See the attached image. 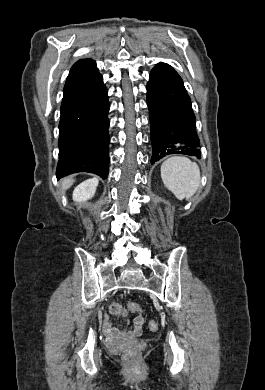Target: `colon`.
Returning <instances> with one entry per match:
<instances>
[{
    "instance_id": "obj_1",
    "label": "colon",
    "mask_w": 265,
    "mask_h": 390,
    "mask_svg": "<svg viewBox=\"0 0 265 390\" xmlns=\"http://www.w3.org/2000/svg\"><path fill=\"white\" fill-rule=\"evenodd\" d=\"M110 308V312L114 315H117V316H124L126 314V309L116 303V302H112L109 306ZM128 309L129 311L131 312H139L141 310L140 308V305L136 302H130L128 304ZM159 328V325L156 321H150L149 322V329L152 330V331H157ZM138 356V348L135 347V346H131L129 348L126 349L125 353H124V357L128 360V361H134Z\"/></svg>"
}]
</instances>
